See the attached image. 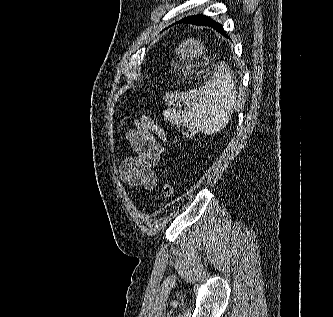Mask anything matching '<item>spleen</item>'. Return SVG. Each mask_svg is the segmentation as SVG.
<instances>
[{
    "mask_svg": "<svg viewBox=\"0 0 333 317\" xmlns=\"http://www.w3.org/2000/svg\"><path fill=\"white\" fill-rule=\"evenodd\" d=\"M163 99L168 106L163 111L166 122L209 135L221 130L230 121L236 105L237 91L229 68L222 65L198 89L187 92L170 91ZM180 103L186 108L177 110Z\"/></svg>",
    "mask_w": 333,
    "mask_h": 317,
    "instance_id": "3e777b00",
    "label": "spleen"
}]
</instances>
